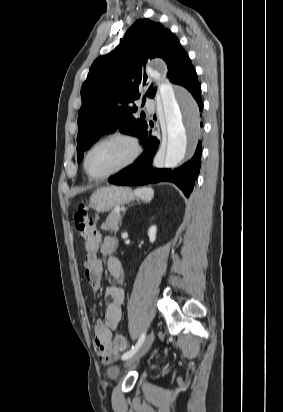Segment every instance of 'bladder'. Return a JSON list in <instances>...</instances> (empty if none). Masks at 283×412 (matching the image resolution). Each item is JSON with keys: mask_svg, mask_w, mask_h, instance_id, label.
I'll return each instance as SVG.
<instances>
[{"mask_svg": "<svg viewBox=\"0 0 283 412\" xmlns=\"http://www.w3.org/2000/svg\"><path fill=\"white\" fill-rule=\"evenodd\" d=\"M107 373L111 378H117L121 373V367L119 365H111L108 367Z\"/></svg>", "mask_w": 283, "mask_h": 412, "instance_id": "bladder-1", "label": "bladder"}]
</instances>
